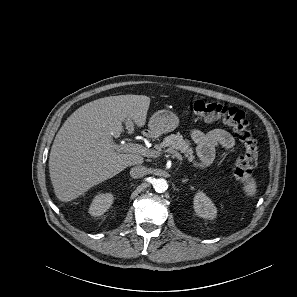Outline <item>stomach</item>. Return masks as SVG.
<instances>
[{"label": "stomach", "mask_w": 297, "mask_h": 297, "mask_svg": "<svg viewBox=\"0 0 297 297\" xmlns=\"http://www.w3.org/2000/svg\"><path fill=\"white\" fill-rule=\"evenodd\" d=\"M178 124L179 119L176 114L165 109L159 110L150 118L148 133L151 137H158L173 131L177 128Z\"/></svg>", "instance_id": "stomach-1"}]
</instances>
